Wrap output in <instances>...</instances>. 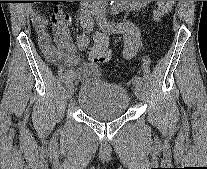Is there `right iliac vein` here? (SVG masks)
Wrapping results in <instances>:
<instances>
[{"label": "right iliac vein", "instance_id": "63e3f726", "mask_svg": "<svg viewBox=\"0 0 207 169\" xmlns=\"http://www.w3.org/2000/svg\"><path fill=\"white\" fill-rule=\"evenodd\" d=\"M90 24H91L90 23V20L87 19L86 17H84L82 19V26L84 28H87ZM74 89H75L74 83L72 81H68L66 83V93H67L68 98H71L72 97V95L74 93Z\"/></svg>", "mask_w": 207, "mask_h": 169}]
</instances>
